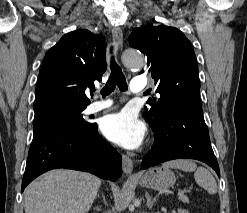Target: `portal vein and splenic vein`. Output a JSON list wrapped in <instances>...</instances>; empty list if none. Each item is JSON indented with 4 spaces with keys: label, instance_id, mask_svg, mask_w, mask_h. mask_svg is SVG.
Returning a JSON list of instances; mask_svg holds the SVG:
<instances>
[{
    "label": "portal vein and splenic vein",
    "instance_id": "18ae733b",
    "mask_svg": "<svg viewBox=\"0 0 247 213\" xmlns=\"http://www.w3.org/2000/svg\"><path fill=\"white\" fill-rule=\"evenodd\" d=\"M178 195L179 196L184 195V191L183 190H178Z\"/></svg>",
    "mask_w": 247,
    "mask_h": 213
}]
</instances>
